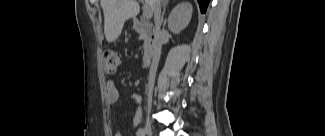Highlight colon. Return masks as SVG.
<instances>
[{"label":"colon","mask_w":325,"mask_h":136,"mask_svg":"<svg viewBox=\"0 0 325 136\" xmlns=\"http://www.w3.org/2000/svg\"><path fill=\"white\" fill-rule=\"evenodd\" d=\"M121 62L120 54L113 49H106L103 52L104 70L108 74L114 73Z\"/></svg>","instance_id":"obj_1"}]
</instances>
